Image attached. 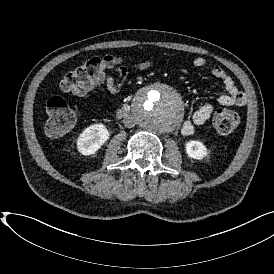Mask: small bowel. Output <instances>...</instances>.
Here are the masks:
<instances>
[{"mask_svg": "<svg viewBox=\"0 0 274 274\" xmlns=\"http://www.w3.org/2000/svg\"><path fill=\"white\" fill-rule=\"evenodd\" d=\"M153 65V61L148 60L142 63L133 64L130 66H120L116 70V76L111 74L102 73L99 77L92 79L91 81L81 84L74 88L73 93L77 97L87 95L90 92L105 85V88L111 93L119 92L125 85L130 72L143 70ZM192 65L195 68H202L207 65V60L203 57H196L192 61ZM211 74L219 79L226 91L224 95H221L218 102L222 106H243L247 102V96L245 92L238 88L233 78L220 66L215 65L211 69ZM214 107L212 104L206 103L200 106L193 114L191 118L186 119L181 131L184 135H192L196 127L203 125L212 115Z\"/></svg>", "mask_w": 274, "mask_h": 274, "instance_id": "obj_1", "label": "small bowel"}]
</instances>
